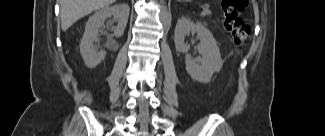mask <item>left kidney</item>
<instances>
[{
  "label": "left kidney",
  "mask_w": 325,
  "mask_h": 136,
  "mask_svg": "<svg viewBox=\"0 0 325 136\" xmlns=\"http://www.w3.org/2000/svg\"><path fill=\"white\" fill-rule=\"evenodd\" d=\"M190 33L197 34L200 40L198 51L202 57L198 63L187 54L185 37ZM174 42L176 50L185 53L186 71L194 80L209 83L213 74L222 69L223 61L217 42L203 23H193L189 18L181 17L175 27Z\"/></svg>",
  "instance_id": "obj_1"
}]
</instances>
